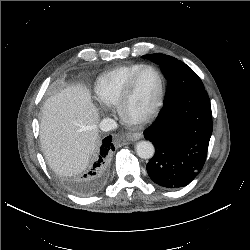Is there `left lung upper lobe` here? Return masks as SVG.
<instances>
[{
    "label": "left lung upper lobe",
    "instance_id": "1",
    "mask_svg": "<svg viewBox=\"0 0 250 250\" xmlns=\"http://www.w3.org/2000/svg\"><path fill=\"white\" fill-rule=\"evenodd\" d=\"M143 57L158 63L167 80L164 104L188 93L204 90V85L197 74L176 58L158 53Z\"/></svg>",
    "mask_w": 250,
    "mask_h": 250
}]
</instances>
